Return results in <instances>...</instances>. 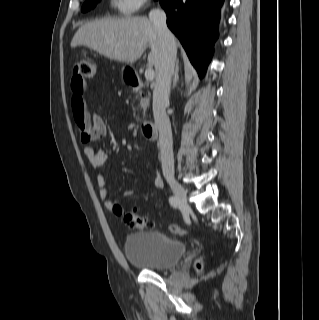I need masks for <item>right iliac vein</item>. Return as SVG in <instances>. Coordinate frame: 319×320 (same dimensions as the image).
I'll return each mask as SVG.
<instances>
[{
    "mask_svg": "<svg viewBox=\"0 0 319 320\" xmlns=\"http://www.w3.org/2000/svg\"><path fill=\"white\" fill-rule=\"evenodd\" d=\"M168 183L175 195V197L179 200V202L186 208H188V203H187V192L184 189V187L179 184L176 180L174 179H169Z\"/></svg>",
    "mask_w": 319,
    "mask_h": 320,
    "instance_id": "right-iliac-vein-1",
    "label": "right iliac vein"
}]
</instances>
